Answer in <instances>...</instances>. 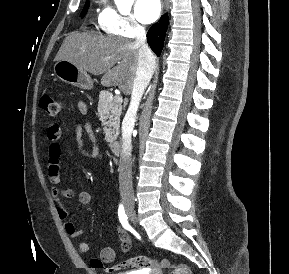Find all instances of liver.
Here are the masks:
<instances>
[{
	"mask_svg": "<svg viewBox=\"0 0 289 274\" xmlns=\"http://www.w3.org/2000/svg\"><path fill=\"white\" fill-rule=\"evenodd\" d=\"M138 57L139 48L134 42L120 37L72 32L64 39L55 61L65 59L93 75H103L104 86H118L124 94H129Z\"/></svg>",
	"mask_w": 289,
	"mask_h": 274,
	"instance_id": "obj_1",
	"label": "liver"
}]
</instances>
